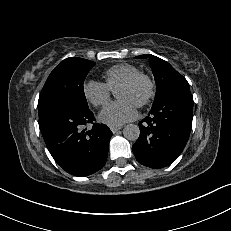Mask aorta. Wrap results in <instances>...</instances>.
<instances>
[{
    "label": "aorta",
    "instance_id": "1",
    "mask_svg": "<svg viewBox=\"0 0 231 231\" xmlns=\"http://www.w3.org/2000/svg\"><path fill=\"white\" fill-rule=\"evenodd\" d=\"M123 135L130 141H136L140 135V129L135 124H128L123 129Z\"/></svg>",
    "mask_w": 231,
    "mask_h": 231
}]
</instances>
